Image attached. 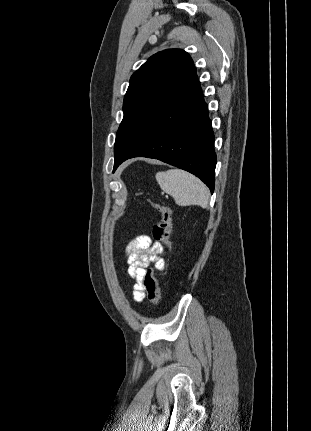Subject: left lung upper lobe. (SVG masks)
Segmentation results:
<instances>
[{"label": "left lung upper lobe", "instance_id": "left-lung-upper-lobe-1", "mask_svg": "<svg viewBox=\"0 0 311 431\" xmlns=\"http://www.w3.org/2000/svg\"><path fill=\"white\" fill-rule=\"evenodd\" d=\"M195 75L191 57L181 49L160 51L134 72L124 97V117L116 134L114 155L123 154L164 104Z\"/></svg>", "mask_w": 311, "mask_h": 431}]
</instances>
